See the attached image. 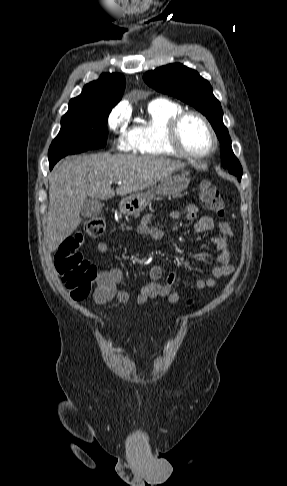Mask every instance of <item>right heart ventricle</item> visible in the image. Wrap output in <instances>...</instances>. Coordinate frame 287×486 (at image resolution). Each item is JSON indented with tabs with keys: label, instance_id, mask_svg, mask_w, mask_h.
<instances>
[{
	"label": "right heart ventricle",
	"instance_id": "obj_1",
	"mask_svg": "<svg viewBox=\"0 0 287 486\" xmlns=\"http://www.w3.org/2000/svg\"><path fill=\"white\" fill-rule=\"evenodd\" d=\"M183 107L168 99H155L147 107L146 118L130 130L133 151L141 155L169 157L178 155L167 142V127Z\"/></svg>",
	"mask_w": 287,
	"mask_h": 486
}]
</instances>
